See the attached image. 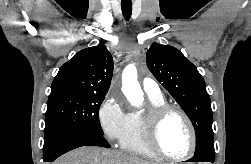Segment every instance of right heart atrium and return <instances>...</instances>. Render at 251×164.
Wrapping results in <instances>:
<instances>
[{
	"label": "right heart atrium",
	"mask_w": 251,
	"mask_h": 164,
	"mask_svg": "<svg viewBox=\"0 0 251 164\" xmlns=\"http://www.w3.org/2000/svg\"><path fill=\"white\" fill-rule=\"evenodd\" d=\"M129 113L123 107L120 99L108 96L98 111L101 130L110 142L120 141L128 124Z\"/></svg>",
	"instance_id": "1"
}]
</instances>
